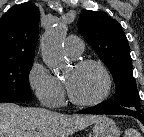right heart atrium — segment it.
<instances>
[{
  "instance_id": "d8ad5b80",
  "label": "right heart atrium",
  "mask_w": 144,
  "mask_h": 137,
  "mask_svg": "<svg viewBox=\"0 0 144 137\" xmlns=\"http://www.w3.org/2000/svg\"><path fill=\"white\" fill-rule=\"evenodd\" d=\"M27 81L34 95L43 106L55 108L63 104L64 89L62 82L40 61L35 60L31 65Z\"/></svg>"
}]
</instances>
